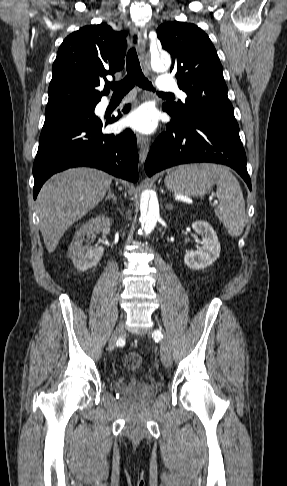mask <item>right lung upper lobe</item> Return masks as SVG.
Here are the masks:
<instances>
[{
	"instance_id": "1",
	"label": "right lung upper lobe",
	"mask_w": 287,
	"mask_h": 486,
	"mask_svg": "<svg viewBox=\"0 0 287 486\" xmlns=\"http://www.w3.org/2000/svg\"><path fill=\"white\" fill-rule=\"evenodd\" d=\"M125 31L104 23L80 28L65 38L52 67L46 109L76 103H98L108 89L96 87L124 67Z\"/></svg>"
}]
</instances>
